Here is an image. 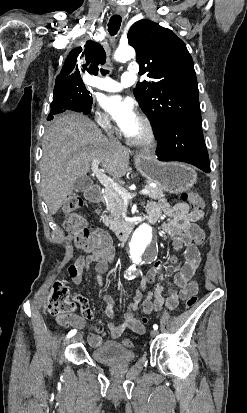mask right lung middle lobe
Returning a JSON list of instances; mask_svg holds the SVG:
<instances>
[{
  "label": "right lung middle lobe",
  "mask_w": 247,
  "mask_h": 413,
  "mask_svg": "<svg viewBox=\"0 0 247 413\" xmlns=\"http://www.w3.org/2000/svg\"><path fill=\"white\" fill-rule=\"evenodd\" d=\"M89 93L82 81H76L56 83L53 95L54 97L76 96L89 99L91 97Z\"/></svg>",
  "instance_id": "right-lung-middle-lobe-1"
}]
</instances>
